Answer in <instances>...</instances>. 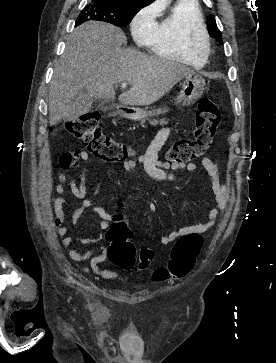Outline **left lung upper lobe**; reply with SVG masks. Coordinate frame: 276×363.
Here are the masks:
<instances>
[{
  "mask_svg": "<svg viewBox=\"0 0 276 363\" xmlns=\"http://www.w3.org/2000/svg\"><path fill=\"white\" fill-rule=\"evenodd\" d=\"M207 26H208V31H209L210 35L213 36L219 43L222 44L223 40H222L221 32L217 28L215 19L213 17H211V16L208 17Z\"/></svg>",
  "mask_w": 276,
  "mask_h": 363,
  "instance_id": "left-lung-upper-lobe-1",
  "label": "left lung upper lobe"
}]
</instances>
